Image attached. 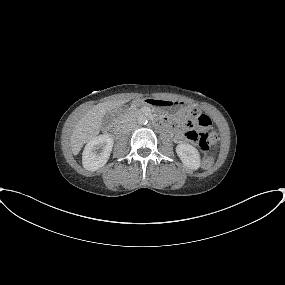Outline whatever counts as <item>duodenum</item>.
I'll list each match as a JSON object with an SVG mask.
<instances>
[{
	"label": "duodenum",
	"mask_w": 285,
	"mask_h": 285,
	"mask_svg": "<svg viewBox=\"0 0 285 285\" xmlns=\"http://www.w3.org/2000/svg\"><path fill=\"white\" fill-rule=\"evenodd\" d=\"M158 125L162 128H165V129H169V127H170V124H169L167 119L158 120ZM121 132H122V126L119 124H113L110 127V133H112L113 135H120Z\"/></svg>",
	"instance_id": "obj_1"
}]
</instances>
